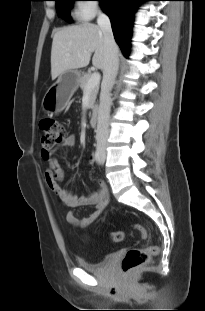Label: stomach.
I'll use <instances>...</instances> for the list:
<instances>
[{
  "mask_svg": "<svg viewBox=\"0 0 205 311\" xmlns=\"http://www.w3.org/2000/svg\"><path fill=\"white\" fill-rule=\"evenodd\" d=\"M81 73L76 70L65 71L48 88L42 100V109L48 114H57L65 109L79 86Z\"/></svg>",
  "mask_w": 205,
  "mask_h": 311,
  "instance_id": "1",
  "label": "stomach"
}]
</instances>
